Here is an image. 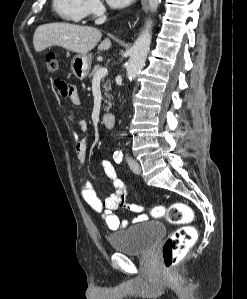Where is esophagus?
Segmentation results:
<instances>
[{
    "instance_id": "obj_1",
    "label": "esophagus",
    "mask_w": 247,
    "mask_h": 299,
    "mask_svg": "<svg viewBox=\"0 0 247 299\" xmlns=\"http://www.w3.org/2000/svg\"><path fill=\"white\" fill-rule=\"evenodd\" d=\"M141 2L143 5H145V6L147 5V0H141Z\"/></svg>"
}]
</instances>
